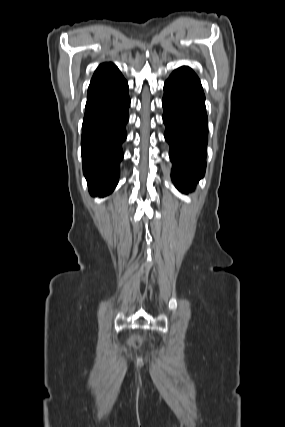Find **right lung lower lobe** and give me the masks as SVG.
Masks as SVG:
<instances>
[{
    "mask_svg": "<svg viewBox=\"0 0 285 427\" xmlns=\"http://www.w3.org/2000/svg\"><path fill=\"white\" fill-rule=\"evenodd\" d=\"M129 105L128 84L117 67L92 78L81 138L83 173L92 196L109 195L118 183Z\"/></svg>",
    "mask_w": 285,
    "mask_h": 427,
    "instance_id": "obj_1",
    "label": "right lung lower lobe"
}]
</instances>
